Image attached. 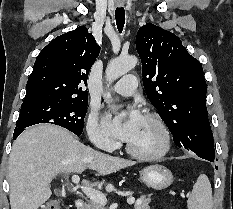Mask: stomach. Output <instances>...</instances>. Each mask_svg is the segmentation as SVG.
<instances>
[{
  "label": "stomach",
  "mask_w": 233,
  "mask_h": 209,
  "mask_svg": "<svg viewBox=\"0 0 233 209\" xmlns=\"http://www.w3.org/2000/svg\"><path fill=\"white\" fill-rule=\"evenodd\" d=\"M140 179L148 187L162 190L172 184L173 175L165 166L154 164L140 171Z\"/></svg>",
  "instance_id": "obj_1"
}]
</instances>
